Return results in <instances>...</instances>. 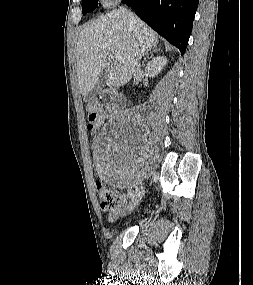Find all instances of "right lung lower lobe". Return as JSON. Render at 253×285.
<instances>
[{
  "label": "right lung lower lobe",
  "instance_id": "right-lung-lower-lobe-1",
  "mask_svg": "<svg viewBox=\"0 0 253 285\" xmlns=\"http://www.w3.org/2000/svg\"><path fill=\"white\" fill-rule=\"evenodd\" d=\"M199 0H122L183 55Z\"/></svg>",
  "mask_w": 253,
  "mask_h": 285
}]
</instances>
